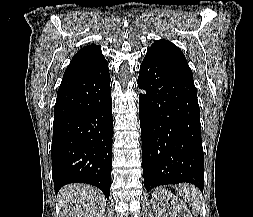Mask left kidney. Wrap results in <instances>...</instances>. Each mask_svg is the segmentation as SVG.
<instances>
[{"mask_svg":"<svg viewBox=\"0 0 253 217\" xmlns=\"http://www.w3.org/2000/svg\"><path fill=\"white\" fill-rule=\"evenodd\" d=\"M152 204L156 217H193L186 204L164 188H158L152 195Z\"/></svg>","mask_w":253,"mask_h":217,"instance_id":"obj_1","label":"left kidney"}]
</instances>
